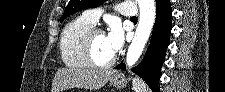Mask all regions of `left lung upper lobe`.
<instances>
[{"mask_svg":"<svg viewBox=\"0 0 225 92\" xmlns=\"http://www.w3.org/2000/svg\"><path fill=\"white\" fill-rule=\"evenodd\" d=\"M105 1L106 0H70L67 7L65 8V12L62 16L61 22L72 13L82 11L91 7H97L103 4Z\"/></svg>","mask_w":225,"mask_h":92,"instance_id":"1","label":"left lung upper lobe"}]
</instances>
